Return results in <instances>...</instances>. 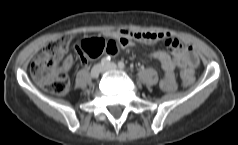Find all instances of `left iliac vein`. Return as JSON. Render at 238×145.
I'll use <instances>...</instances> for the list:
<instances>
[{
    "instance_id": "1",
    "label": "left iliac vein",
    "mask_w": 238,
    "mask_h": 145,
    "mask_svg": "<svg viewBox=\"0 0 238 145\" xmlns=\"http://www.w3.org/2000/svg\"><path fill=\"white\" fill-rule=\"evenodd\" d=\"M118 70V66L115 63H108L107 65L104 66L103 71H114Z\"/></svg>"
}]
</instances>
